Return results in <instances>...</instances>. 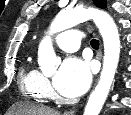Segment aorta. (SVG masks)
Instances as JSON below:
<instances>
[{
    "label": "aorta",
    "instance_id": "762f6f07",
    "mask_svg": "<svg viewBox=\"0 0 131 115\" xmlns=\"http://www.w3.org/2000/svg\"><path fill=\"white\" fill-rule=\"evenodd\" d=\"M89 19H93L103 38L104 59L100 79L90 94L84 115H99L111 89L120 56L118 29L108 13L94 8H76L61 11L52 22L49 35L44 37L39 44L38 62L44 74H53L57 68L58 59L55 55L50 35L71 28Z\"/></svg>",
    "mask_w": 131,
    "mask_h": 115
}]
</instances>
